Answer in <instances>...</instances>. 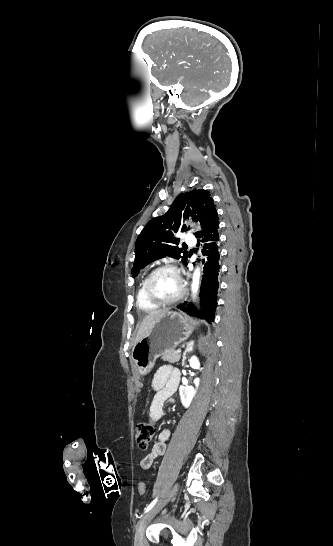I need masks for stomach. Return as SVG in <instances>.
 <instances>
[{"instance_id": "0dacf381", "label": "stomach", "mask_w": 333, "mask_h": 546, "mask_svg": "<svg viewBox=\"0 0 333 546\" xmlns=\"http://www.w3.org/2000/svg\"><path fill=\"white\" fill-rule=\"evenodd\" d=\"M192 324L191 320L175 311H169L157 321L148 335L133 347L132 359L139 374H148L157 358L186 340L192 333Z\"/></svg>"}]
</instances>
